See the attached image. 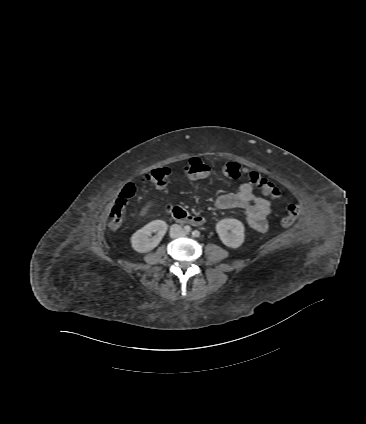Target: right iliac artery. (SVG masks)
<instances>
[{"label":"right iliac artery","instance_id":"1","mask_svg":"<svg viewBox=\"0 0 366 424\" xmlns=\"http://www.w3.org/2000/svg\"><path fill=\"white\" fill-rule=\"evenodd\" d=\"M184 231L186 232V233H189V232H191V227L190 226H185L184 227Z\"/></svg>","mask_w":366,"mask_h":424}]
</instances>
